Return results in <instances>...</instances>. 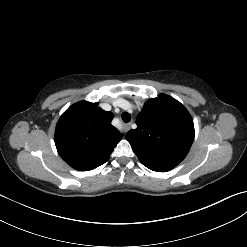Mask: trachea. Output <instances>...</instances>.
Wrapping results in <instances>:
<instances>
[{"label": "trachea", "mask_w": 247, "mask_h": 247, "mask_svg": "<svg viewBox=\"0 0 247 247\" xmlns=\"http://www.w3.org/2000/svg\"><path fill=\"white\" fill-rule=\"evenodd\" d=\"M121 117L125 123H128L131 120V115L127 112H123Z\"/></svg>", "instance_id": "3493384b"}]
</instances>
